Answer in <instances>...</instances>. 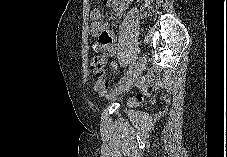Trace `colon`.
Listing matches in <instances>:
<instances>
[{
	"mask_svg": "<svg viewBox=\"0 0 227 157\" xmlns=\"http://www.w3.org/2000/svg\"><path fill=\"white\" fill-rule=\"evenodd\" d=\"M153 0H143L141 5V13L143 16H148L152 12ZM105 68V57L96 55L91 60V69L95 74H101ZM109 83L106 79L99 78L94 84V90L99 96H105L108 93ZM147 98L143 94H138L136 97L130 98L128 103L130 106H138L145 104Z\"/></svg>",
	"mask_w": 227,
	"mask_h": 157,
	"instance_id": "colon-1",
	"label": "colon"
}]
</instances>
